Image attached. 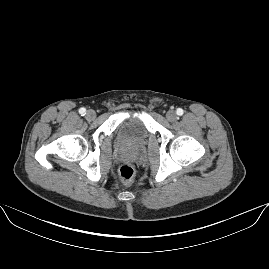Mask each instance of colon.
<instances>
[{"label":"colon","mask_w":269,"mask_h":269,"mask_svg":"<svg viewBox=\"0 0 269 269\" xmlns=\"http://www.w3.org/2000/svg\"><path fill=\"white\" fill-rule=\"evenodd\" d=\"M135 174H136L135 167L129 162L124 163L119 168V177L123 183L128 184L133 182Z\"/></svg>","instance_id":"5ec220e1"}]
</instances>
